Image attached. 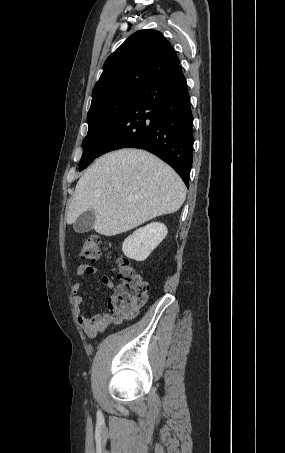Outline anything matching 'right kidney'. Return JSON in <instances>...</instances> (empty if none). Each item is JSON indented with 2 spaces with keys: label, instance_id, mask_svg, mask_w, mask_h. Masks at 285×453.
Segmentation results:
<instances>
[{
  "label": "right kidney",
  "instance_id": "1",
  "mask_svg": "<svg viewBox=\"0 0 285 453\" xmlns=\"http://www.w3.org/2000/svg\"><path fill=\"white\" fill-rule=\"evenodd\" d=\"M167 232L163 223L152 222L128 236L122 244V251L130 259L144 261L166 237Z\"/></svg>",
  "mask_w": 285,
  "mask_h": 453
}]
</instances>
